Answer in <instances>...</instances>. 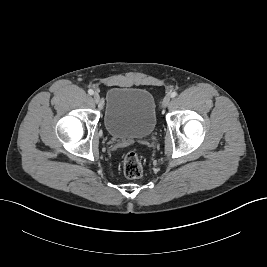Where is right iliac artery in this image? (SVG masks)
<instances>
[{"label": "right iliac artery", "mask_w": 267, "mask_h": 267, "mask_svg": "<svg viewBox=\"0 0 267 267\" xmlns=\"http://www.w3.org/2000/svg\"><path fill=\"white\" fill-rule=\"evenodd\" d=\"M88 93H89L90 95H93V94H94V91H93L92 89H89V90H88Z\"/></svg>", "instance_id": "right-iliac-artery-1"}]
</instances>
